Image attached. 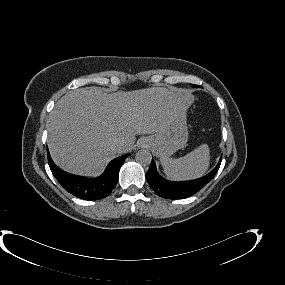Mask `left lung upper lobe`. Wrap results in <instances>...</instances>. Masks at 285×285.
I'll return each mask as SVG.
<instances>
[{
    "label": "left lung upper lobe",
    "instance_id": "obj_1",
    "mask_svg": "<svg viewBox=\"0 0 285 285\" xmlns=\"http://www.w3.org/2000/svg\"><path fill=\"white\" fill-rule=\"evenodd\" d=\"M192 87H196V85L191 84Z\"/></svg>",
    "mask_w": 285,
    "mask_h": 285
}]
</instances>
